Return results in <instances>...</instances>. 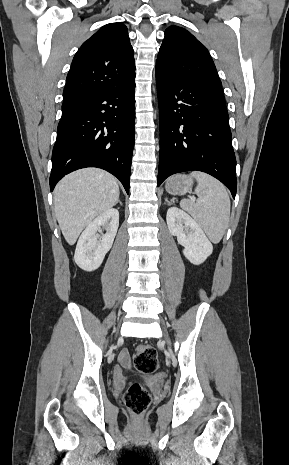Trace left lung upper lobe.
I'll use <instances>...</instances> for the list:
<instances>
[{"label": "left lung upper lobe", "instance_id": "left-lung-upper-lobe-1", "mask_svg": "<svg viewBox=\"0 0 289 465\" xmlns=\"http://www.w3.org/2000/svg\"><path fill=\"white\" fill-rule=\"evenodd\" d=\"M156 74L170 80L196 82L222 90V83L206 47L178 26H170L165 31Z\"/></svg>", "mask_w": 289, "mask_h": 465}]
</instances>
